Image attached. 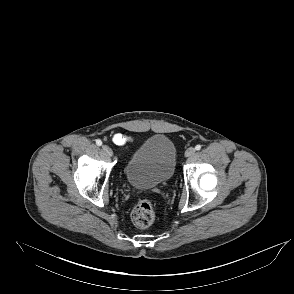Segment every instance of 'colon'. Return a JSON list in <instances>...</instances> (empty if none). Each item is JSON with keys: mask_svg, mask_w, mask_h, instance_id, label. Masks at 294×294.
<instances>
[{"mask_svg": "<svg viewBox=\"0 0 294 294\" xmlns=\"http://www.w3.org/2000/svg\"><path fill=\"white\" fill-rule=\"evenodd\" d=\"M130 218L132 223L138 228L150 226L155 218L152 203L147 199L138 201L131 210Z\"/></svg>", "mask_w": 294, "mask_h": 294, "instance_id": "obj_1", "label": "colon"}]
</instances>
